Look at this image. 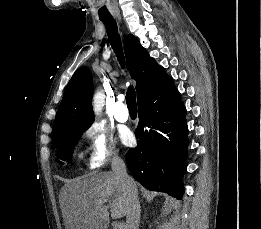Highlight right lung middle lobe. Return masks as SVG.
Listing matches in <instances>:
<instances>
[{
  "mask_svg": "<svg viewBox=\"0 0 261 229\" xmlns=\"http://www.w3.org/2000/svg\"><path fill=\"white\" fill-rule=\"evenodd\" d=\"M90 125L67 126L61 128L64 141L57 148V158L70 162L73 154V148L81 137V134L89 128ZM57 161L61 163L59 160Z\"/></svg>",
  "mask_w": 261,
  "mask_h": 229,
  "instance_id": "dd1d6c3e",
  "label": "right lung middle lobe"
}]
</instances>
